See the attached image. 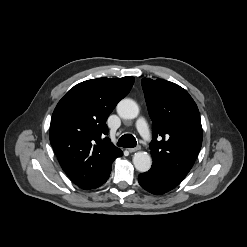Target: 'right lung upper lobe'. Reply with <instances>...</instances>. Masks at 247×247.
Segmentation results:
<instances>
[{
	"label": "right lung upper lobe",
	"mask_w": 247,
	"mask_h": 247,
	"mask_svg": "<svg viewBox=\"0 0 247 247\" xmlns=\"http://www.w3.org/2000/svg\"><path fill=\"white\" fill-rule=\"evenodd\" d=\"M134 77L98 78L75 85L58 102L50 143L67 176L87 190L106 182L122 151L108 137L106 120L130 91Z\"/></svg>",
	"instance_id": "right-lung-upper-lobe-1"
}]
</instances>
